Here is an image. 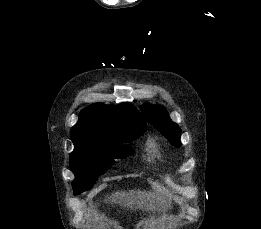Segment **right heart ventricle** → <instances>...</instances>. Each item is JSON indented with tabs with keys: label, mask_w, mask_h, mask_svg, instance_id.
I'll return each instance as SVG.
<instances>
[{
	"label": "right heart ventricle",
	"mask_w": 261,
	"mask_h": 229,
	"mask_svg": "<svg viewBox=\"0 0 261 229\" xmlns=\"http://www.w3.org/2000/svg\"><path fill=\"white\" fill-rule=\"evenodd\" d=\"M146 151L152 155V156H156L159 152V145L155 140H149L146 143Z\"/></svg>",
	"instance_id": "1"
}]
</instances>
